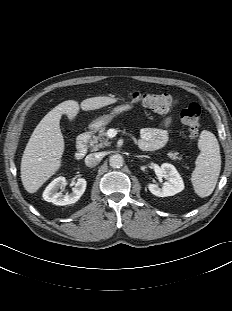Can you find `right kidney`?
<instances>
[{
  "mask_svg": "<svg viewBox=\"0 0 232 311\" xmlns=\"http://www.w3.org/2000/svg\"><path fill=\"white\" fill-rule=\"evenodd\" d=\"M66 185L67 181L64 177L54 179L43 192L44 200L60 206L73 204L77 202L85 192L87 182L85 179L79 178L77 182L74 183L75 186L72 192L70 194L63 195L59 189H62Z\"/></svg>",
  "mask_w": 232,
  "mask_h": 311,
  "instance_id": "right-kidney-1",
  "label": "right kidney"
}]
</instances>
